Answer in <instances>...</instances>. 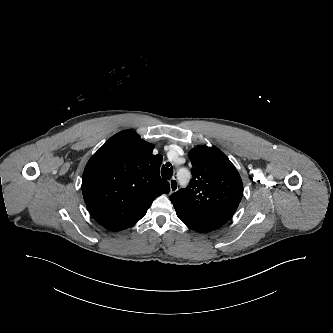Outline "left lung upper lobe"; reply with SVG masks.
<instances>
[{
  "label": "left lung upper lobe",
  "mask_w": 333,
  "mask_h": 333,
  "mask_svg": "<svg viewBox=\"0 0 333 333\" xmlns=\"http://www.w3.org/2000/svg\"><path fill=\"white\" fill-rule=\"evenodd\" d=\"M193 179L186 189L170 196L171 202L192 206L235 203L243 196L241 177L228 157L216 147L197 146L189 152Z\"/></svg>",
  "instance_id": "5c2ea615"
}]
</instances>
